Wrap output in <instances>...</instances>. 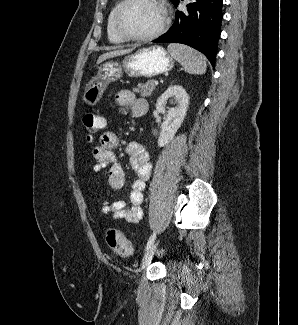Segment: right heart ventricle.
<instances>
[{
  "instance_id": "1",
  "label": "right heart ventricle",
  "mask_w": 298,
  "mask_h": 325,
  "mask_svg": "<svg viewBox=\"0 0 298 325\" xmlns=\"http://www.w3.org/2000/svg\"><path fill=\"white\" fill-rule=\"evenodd\" d=\"M122 2L116 3L112 9L109 12L108 18H107V25H106V30H107V38L108 41L115 46H120L125 44L126 41L122 40L115 32L114 27H113V21L115 18V15L117 13L118 8Z\"/></svg>"
}]
</instances>
